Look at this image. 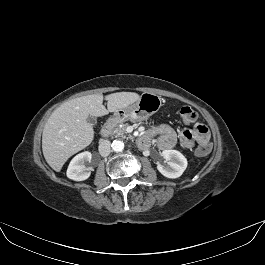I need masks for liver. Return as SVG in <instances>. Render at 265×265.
<instances>
[{
    "label": "liver",
    "instance_id": "6515ba94",
    "mask_svg": "<svg viewBox=\"0 0 265 265\" xmlns=\"http://www.w3.org/2000/svg\"><path fill=\"white\" fill-rule=\"evenodd\" d=\"M134 92H117L105 97L93 94L69 100L56 108L47 120L42 134L43 155L49 166L59 172L75 153L89 146L94 139V129L87 122L89 115L101 117L138 101Z\"/></svg>",
    "mask_w": 265,
    "mask_h": 265
}]
</instances>
